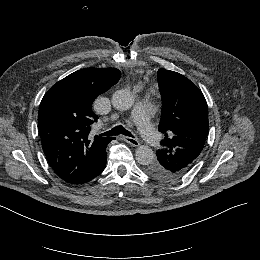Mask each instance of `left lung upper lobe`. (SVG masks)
<instances>
[{"label":"left lung upper lobe","mask_w":260,"mask_h":260,"mask_svg":"<svg viewBox=\"0 0 260 260\" xmlns=\"http://www.w3.org/2000/svg\"><path fill=\"white\" fill-rule=\"evenodd\" d=\"M162 95L159 131L165 134L157 161L147 173L162 181L182 178L197 162L208 133V108L202 92L183 75L158 70Z\"/></svg>","instance_id":"left-lung-upper-lobe-1"}]
</instances>
